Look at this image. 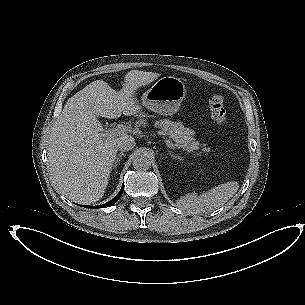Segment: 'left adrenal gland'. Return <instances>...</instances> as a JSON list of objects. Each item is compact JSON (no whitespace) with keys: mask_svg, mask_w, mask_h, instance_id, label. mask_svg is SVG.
Here are the masks:
<instances>
[{"mask_svg":"<svg viewBox=\"0 0 305 305\" xmlns=\"http://www.w3.org/2000/svg\"><path fill=\"white\" fill-rule=\"evenodd\" d=\"M169 154L171 155V157L173 159H180V156L174 155V153H172V152H169Z\"/></svg>","mask_w":305,"mask_h":305,"instance_id":"1","label":"left adrenal gland"}]
</instances>
